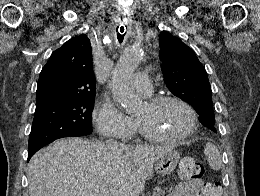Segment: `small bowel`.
Listing matches in <instances>:
<instances>
[{"mask_svg": "<svg viewBox=\"0 0 260 196\" xmlns=\"http://www.w3.org/2000/svg\"><path fill=\"white\" fill-rule=\"evenodd\" d=\"M206 186L207 183L200 178L185 180L178 183L169 196H209Z\"/></svg>", "mask_w": 260, "mask_h": 196, "instance_id": "small-bowel-1", "label": "small bowel"}]
</instances>
